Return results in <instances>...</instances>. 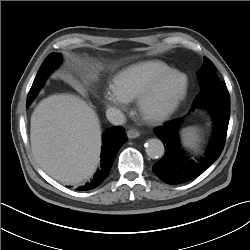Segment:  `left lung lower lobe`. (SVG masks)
Returning <instances> with one entry per match:
<instances>
[{
	"mask_svg": "<svg viewBox=\"0 0 250 250\" xmlns=\"http://www.w3.org/2000/svg\"><path fill=\"white\" fill-rule=\"evenodd\" d=\"M192 107L211 111L214 128L212 139L204 157L193 161L182 149L179 140L182 119L166 122L156 129L155 135L165 144V154L154 164L153 172L165 183L180 184L196 178L218 159L224 148L230 117V96L225 83L202 88Z\"/></svg>",
	"mask_w": 250,
	"mask_h": 250,
	"instance_id": "0a47b994",
	"label": "left lung lower lobe"
}]
</instances>
